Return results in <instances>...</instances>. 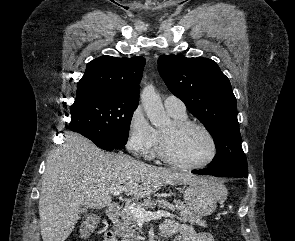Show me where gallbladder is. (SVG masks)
<instances>
[{
  "label": "gallbladder",
  "instance_id": "1",
  "mask_svg": "<svg viewBox=\"0 0 295 241\" xmlns=\"http://www.w3.org/2000/svg\"><path fill=\"white\" fill-rule=\"evenodd\" d=\"M85 210H86V209H85V208H83V209H81V212H85Z\"/></svg>",
  "mask_w": 295,
  "mask_h": 241
}]
</instances>
